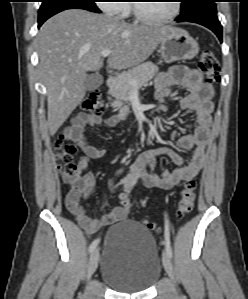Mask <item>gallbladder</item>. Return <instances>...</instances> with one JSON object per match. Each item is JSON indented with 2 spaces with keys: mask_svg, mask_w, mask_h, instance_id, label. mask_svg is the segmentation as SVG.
Instances as JSON below:
<instances>
[{
  "mask_svg": "<svg viewBox=\"0 0 248 299\" xmlns=\"http://www.w3.org/2000/svg\"><path fill=\"white\" fill-rule=\"evenodd\" d=\"M103 83V77L99 73L87 75L85 79V88L87 91H94Z\"/></svg>",
  "mask_w": 248,
  "mask_h": 299,
  "instance_id": "1",
  "label": "gallbladder"
}]
</instances>
